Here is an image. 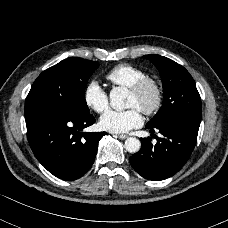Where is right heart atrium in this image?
I'll return each mask as SVG.
<instances>
[{"mask_svg":"<svg viewBox=\"0 0 228 228\" xmlns=\"http://www.w3.org/2000/svg\"><path fill=\"white\" fill-rule=\"evenodd\" d=\"M83 100L87 107L103 113L109 106V95L99 80H89L83 90Z\"/></svg>","mask_w":228,"mask_h":228,"instance_id":"obj_1","label":"right heart atrium"}]
</instances>
